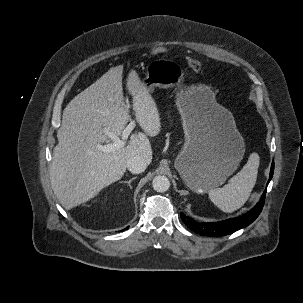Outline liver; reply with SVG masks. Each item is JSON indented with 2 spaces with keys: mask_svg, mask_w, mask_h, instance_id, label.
Listing matches in <instances>:
<instances>
[{
  "mask_svg": "<svg viewBox=\"0 0 303 303\" xmlns=\"http://www.w3.org/2000/svg\"><path fill=\"white\" fill-rule=\"evenodd\" d=\"M123 66L108 70L96 82L75 96L65 107L57 132L50 168L51 186L60 204L70 210L94 198L103 188L124 175L134 156L152 160L147 136L161 130L160 115L150 91L135 70L127 77L135 118L145 133L130 136L129 144L105 153L97 145L108 143L109 134L119 138L130 115L122 88Z\"/></svg>",
  "mask_w": 303,
  "mask_h": 303,
  "instance_id": "obj_1",
  "label": "liver"
}]
</instances>
